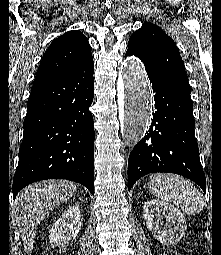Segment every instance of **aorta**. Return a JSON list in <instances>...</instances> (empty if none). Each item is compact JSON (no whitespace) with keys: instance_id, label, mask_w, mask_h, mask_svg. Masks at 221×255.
Returning <instances> with one entry per match:
<instances>
[{"instance_id":"obj_1","label":"aorta","mask_w":221,"mask_h":255,"mask_svg":"<svg viewBox=\"0 0 221 255\" xmlns=\"http://www.w3.org/2000/svg\"><path fill=\"white\" fill-rule=\"evenodd\" d=\"M117 87L122 135L127 145L133 147L145 135L152 118V95L140 60L130 58L124 63Z\"/></svg>"}]
</instances>
